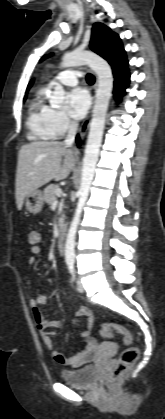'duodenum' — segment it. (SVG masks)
<instances>
[{
	"label": "duodenum",
	"mask_w": 165,
	"mask_h": 419,
	"mask_svg": "<svg viewBox=\"0 0 165 419\" xmlns=\"http://www.w3.org/2000/svg\"><path fill=\"white\" fill-rule=\"evenodd\" d=\"M65 242H66V232L62 231L57 239V248L59 252H63L65 248Z\"/></svg>",
	"instance_id": "1"
}]
</instances>
